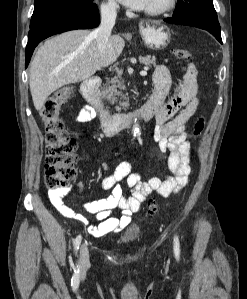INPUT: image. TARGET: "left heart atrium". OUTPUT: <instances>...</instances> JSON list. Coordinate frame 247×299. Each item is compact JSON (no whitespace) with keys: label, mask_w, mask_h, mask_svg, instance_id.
<instances>
[{"label":"left heart atrium","mask_w":247,"mask_h":299,"mask_svg":"<svg viewBox=\"0 0 247 299\" xmlns=\"http://www.w3.org/2000/svg\"><path fill=\"white\" fill-rule=\"evenodd\" d=\"M125 6L133 9H144L148 6L150 0H118Z\"/></svg>","instance_id":"1"}]
</instances>
